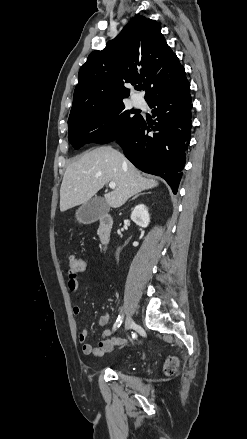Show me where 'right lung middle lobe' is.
Listing matches in <instances>:
<instances>
[{"label": "right lung middle lobe", "instance_id": "dd1d6c3e", "mask_svg": "<svg viewBox=\"0 0 247 439\" xmlns=\"http://www.w3.org/2000/svg\"><path fill=\"white\" fill-rule=\"evenodd\" d=\"M125 110L124 103L116 102L69 117L68 139L75 149L85 143H109L121 138L141 117Z\"/></svg>", "mask_w": 247, "mask_h": 439}]
</instances>
